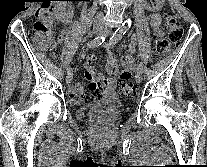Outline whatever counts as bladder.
<instances>
[{
    "label": "bladder",
    "mask_w": 207,
    "mask_h": 167,
    "mask_svg": "<svg viewBox=\"0 0 207 167\" xmlns=\"http://www.w3.org/2000/svg\"><path fill=\"white\" fill-rule=\"evenodd\" d=\"M121 108V104L115 98H106L100 102L87 103L80 107L78 115L81 118H85L87 113L92 110H99L104 112H109L113 110H118Z\"/></svg>",
    "instance_id": "1"
}]
</instances>
